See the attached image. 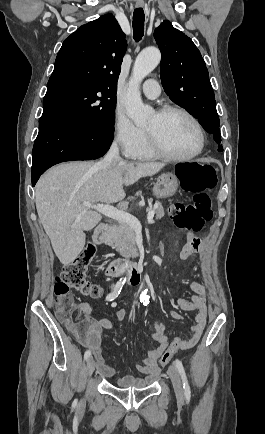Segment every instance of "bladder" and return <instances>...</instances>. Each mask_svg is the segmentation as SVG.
Listing matches in <instances>:
<instances>
[{
  "instance_id": "bladder-1",
  "label": "bladder",
  "mask_w": 265,
  "mask_h": 434,
  "mask_svg": "<svg viewBox=\"0 0 265 434\" xmlns=\"http://www.w3.org/2000/svg\"><path fill=\"white\" fill-rule=\"evenodd\" d=\"M101 373L107 378H113L117 375V369L110 365H105L101 368Z\"/></svg>"
}]
</instances>
